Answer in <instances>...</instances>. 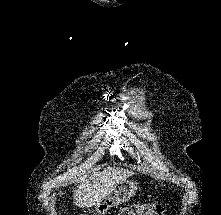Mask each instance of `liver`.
I'll return each instance as SVG.
<instances>
[{
  "mask_svg": "<svg viewBox=\"0 0 221 215\" xmlns=\"http://www.w3.org/2000/svg\"><path fill=\"white\" fill-rule=\"evenodd\" d=\"M132 175L133 172L128 170L106 168L88 178H83L78 188L74 190V204L80 208L96 206L115 185Z\"/></svg>",
  "mask_w": 221,
  "mask_h": 215,
  "instance_id": "6515ba94",
  "label": "liver"
}]
</instances>
